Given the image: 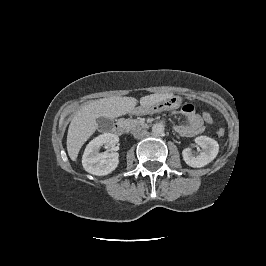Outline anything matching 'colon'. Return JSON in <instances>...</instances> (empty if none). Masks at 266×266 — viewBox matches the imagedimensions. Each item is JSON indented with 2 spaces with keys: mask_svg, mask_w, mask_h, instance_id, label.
Returning a JSON list of instances; mask_svg holds the SVG:
<instances>
[{
  "mask_svg": "<svg viewBox=\"0 0 266 266\" xmlns=\"http://www.w3.org/2000/svg\"><path fill=\"white\" fill-rule=\"evenodd\" d=\"M203 120H204L206 123H208V124H211V123H213V121H214L212 115H211L210 113H208V112H205V113L203 114ZM224 134H225V130H224L223 128H219V129L217 130V135H218V136H223Z\"/></svg>",
  "mask_w": 266,
  "mask_h": 266,
  "instance_id": "obj_1",
  "label": "colon"
}]
</instances>
